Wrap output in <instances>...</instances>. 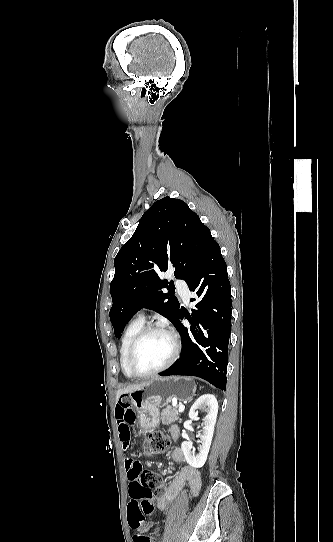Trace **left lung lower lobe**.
I'll list each match as a JSON object with an SVG mask.
<instances>
[{"instance_id":"left-lung-lower-lobe-1","label":"left lung lower lobe","mask_w":333,"mask_h":542,"mask_svg":"<svg viewBox=\"0 0 333 542\" xmlns=\"http://www.w3.org/2000/svg\"><path fill=\"white\" fill-rule=\"evenodd\" d=\"M186 283L198 299H191L197 301L192 315L180 310L175 327L182 339L181 355L160 375L197 376L223 390L227 380L232 300L227 266L213 237ZM183 316L189 320L190 329L180 322Z\"/></svg>"}]
</instances>
